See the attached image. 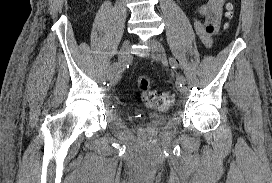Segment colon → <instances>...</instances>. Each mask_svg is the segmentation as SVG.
Returning a JSON list of instances; mask_svg holds the SVG:
<instances>
[{
	"instance_id": "5ec220e1",
	"label": "colon",
	"mask_w": 272,
	"mask_h": 183,
	"mask_svg": "<svg viewBox=\"0 0 272 183\" xmlns=\"http://www.w3.org/2000/svg\"><path fill=\"white\" fill-rule=\"evenodd\" d=\"M234 3H228L227 5V17L232 19L234 16ZM153 80L149 75H140L136 80V86L142 94V98L148 107L156 108L159 110H165L169 108L173 101L174 96L171 93L156 94L151 88Z\"/></svg>"
}]
</instances>
